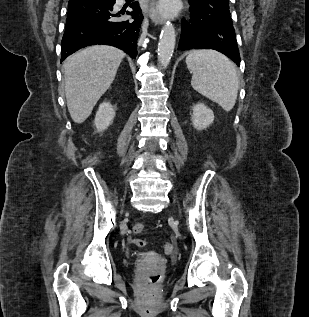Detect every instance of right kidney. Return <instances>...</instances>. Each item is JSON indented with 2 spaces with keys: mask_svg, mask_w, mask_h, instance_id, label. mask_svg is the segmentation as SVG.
I'll return each mask as SVG.
<instances>
[{
  "mask_svg": "<svg viewBox=\"0 0 309 317\" xmlns=\"http://www.w3.org/2000/svg\"><path fill=\"white\" fill-rule=\"evenodd\" d=\"M115 117V110L108 102L100 104L99 109L95 115L94 125L97 132H102L112 124Z\"/></svg>",
  "mask_w": 309,
  "mask_h": 317,
  "instance_id": "obj_1",
  "label": "right kidney"
}]
</instances>
